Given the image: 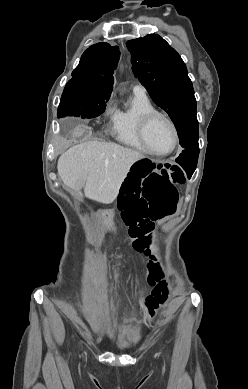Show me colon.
Listing matches in <instances>:
<instances>
[{"mask_svg": "<svg viewBox=\"0 0 248 389\" xmlns=\"http://www.w3.org/2000/svg\"><path fill=\"white\" fill-rule=\"evenodd\" d=\"M130 170V175L124 177L120 186L121 194L116 195V200L122 211L121 216H130L128 224L133 248L149 255V233L156 222L175 212L177 185L184 183L185 175L174 161H152L151 157H140ZM149 267H152V263H149ZM167 299L165 286L160 284L147 301L149 320Z\"/></svg>", "mask_w": 248, "mask_h": 389, "instance_id": "obj_1", "label": "colon"}]
</instances>
